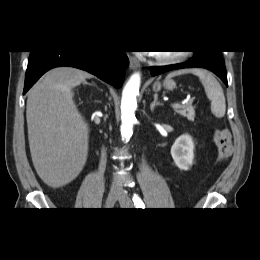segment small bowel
Masks as SVG:
<instances>
[{
  "instance_id": "obj_1",
  "label": "small bowel",
  "mask_w": 260,
  "mask_h": 260,
  "mask_svg": "<svg viewBox=\"0 0 260 260\" xmlns=\"http://www.w3.org/2000/svg\"><path fill=\"white\" fill-rule=\"evenodd\" d=\"M214 143L218 148L219 159H227L233 151L231 136L227 130H219L214 133Z\"/></svg>"
}]
</instances>
